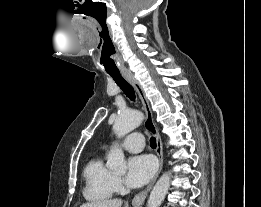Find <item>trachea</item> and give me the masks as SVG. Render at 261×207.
I'll list each match as a JSON object with an SVG mask.
<instances>
[{
    "instance_id": "trachea-1",
    "label": "trachea",
    "mask_w": 261,
    "mask_h": 207,
    "mask_svg": "<svg viewBox=\"0 0 261 207\" xmlns=\"http://www.w3.org/2000/svg\"><path fill=\"white\" fill-rule=\"evenodd\" d=\"M115 83L122 89L124 94L130 98L131 100H135V91L133 87L122 77L120 73L118 74H110ZM150 145L152 148H156V139L154 137L150 138Z\"/></svg>"
}]
</instances>
